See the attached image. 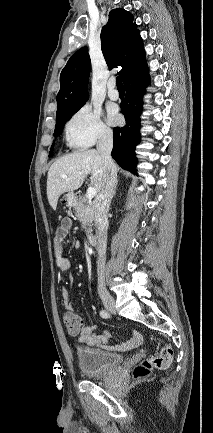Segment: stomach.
Returning a JSON list of instances; mask_svg holds the SVG:
<instances>
[{"mask_svg": "<svg viewBox=\"0 0 213 433\" xmlns=\"http://www.w3.org/2000/svg\"><path fill=\"white\" fill-rule=\"evenodd\" d=\"M62 200L67 204V205H71L73 203V201L75 200V196L73 193L71 192H67L63 195Z\"/></svg>", "mask_w": 213, "mask_h": 433, "instance_id": "obj_1", "label": "stomach"}]
</instances>
